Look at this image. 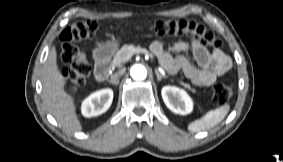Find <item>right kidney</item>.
<instances>
[{
  "label": "right kidney",
  "mask_w": 283,
  "mask_h": 162,
  "mask_svg": "<svg viewBox=\"0 0 283 162\" xmlns=\"http://www.w3.org/2000/svg\"><path fill=\"white\" fill-rule=\"evenodd\" d=\"M113 101L112 89L106 88L89 95L81 106V112L85 117L98 116L106 112Z\"/></svg>",
  "instance_id": "obj_1"
}]
</instances>
